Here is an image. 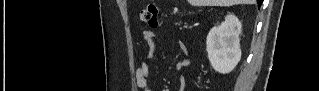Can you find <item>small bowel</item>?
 I'll return each instance as SVG.
<instances>
[{
	"instance_id": "obj_1",
	"label": "small bowel",
	"mask_w": 319,
	"mask_h": 91,
	"mask_svg": "<svg viewBox=\"0 0 319 91\" xmlns=\"http://www.w3.org/2000/svg\"><path fill=\"white\" fill-rule=\"evenodd\" d=\"M143 41L147 47V58L144 60L135 72L136 85L143 91H151L149 87V69H150V60L152 59L155 50H156V41L155 34L150 30H145L143 32ZM178 47L180 51L184 54H188V47L184 42H178ZM189 65V59L187 56L176 61L174 64L175 70H181ZM179 90L183 91L186 86V78L184 75H181L178 79Z\"/></svg>"
}]
</instances>
